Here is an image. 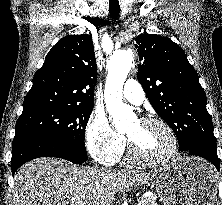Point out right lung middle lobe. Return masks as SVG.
<instances>
[{
	"label": "right lung middle lobe",
	"instance_id": "1",
	"mask_svg": "<svg viewBox=\"0 0 222 205\" xmlns=\"http://www.w3.org/2000/svg\"><path fill=\"white\" fill-rule=\"evenodd\" d=\"M93 106H52L20 115L15 136L39 134L86 153L84 134Z\"/></svg>",
	"mask_w": 222,
	"mask_h": 205
}]
</instances>
